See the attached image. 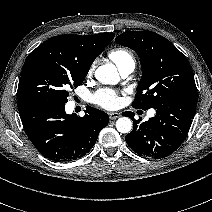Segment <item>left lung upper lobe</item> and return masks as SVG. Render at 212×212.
Here are the masks:
<instances>
[{
  "instance_id": "obj_1",
  "label": "left lung upper lobe",
  "mask_w": 212,
  "mask_h": 212,
  "mask_svg": "<svg viewBox=\"0 0 212 212\" xmlns=\"http://www.w3.org/2000/svg\"><path fill=\"white\" fill-rule=\"evenodd\" d=\"M119 45L138 54L142 78L132 106L147 110L180 96H197L187 58L166 38L151 31H127L116 37Z\"/></svg>"
}]
</instances>
